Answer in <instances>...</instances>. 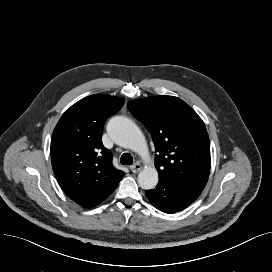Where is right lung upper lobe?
<instances>
[{
	"mask_svg": "<svg viewBox=\"0 0 272 272\" xmlns=\"http://www.w3.org/2000/svg\"><path fill=\"white\" fill-rule=\"evenodd\" d=\"M123 104L124 99L116 96L85 97L65 111L53 131L55 176L63 191L85 208L105 200L124 175L112 165V154L102 144L106 119Z\"/></svg>",
	"mask_w": 272,
	"mask_h": 272,
	"instance_id": "obj_1",
	"label": "right lung upper lobe"
}]
</instances>
